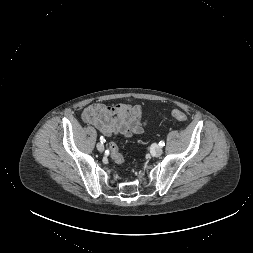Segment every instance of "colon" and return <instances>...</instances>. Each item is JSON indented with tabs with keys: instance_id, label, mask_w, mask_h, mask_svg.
<instances>
[{
	"instance_id": "5ec220e1",
	"label": "colon",
	"mask_w": 253,
	"mask_h": 253,
	"mask_svg": "<svg viewBox=\"0 0 253 253\" xmlns=\"http://www.w3.org/2000/svg\"><path fill=\"white\" fill-rule=\"evenodd\" d=\"M171 115L176 120L181 121V122H185L187 120V116L182 111L177 110V109L172 110ZM108 147H109L110 155L113 162L118 165H123L124 157L121 154L118 145L115 142H110Z\"/></svg>"
}]
</instances>
